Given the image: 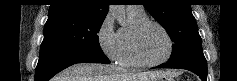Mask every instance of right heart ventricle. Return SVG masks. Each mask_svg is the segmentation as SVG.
<instances>
[{
    "label": "right heart ventricle",
    "instance_id": "obj_1",
    "mask_svg": "<svg viewBox=\"0 0 237 81\" xmlns=\"http://www.w3.org/2000/svg\"><path fill=\"white\" fill-rule=\"evenodd\" d=\"M128 18L131 22V28L145 20H147L145 13H138L134 11H128ZM130 29H120L119 39H120V54L118 62L120 65L130 68L138 67L139 64L135 61L132 56L131 47H130Z\"/></svg>",
    "mask_w": 237,
    "mask_h": 81
}]
</instances>
